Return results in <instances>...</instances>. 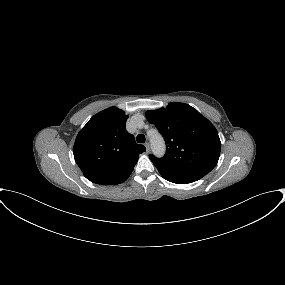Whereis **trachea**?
I'll list each match as a JSON object with an SVG mask.
<instances>
[{
	"instance_id": "obj_1",
	"label": "trachea",
	"mask_w": 285,
	"mask_h": 285,
	"mask_svg": "<svg viewBox=\"0 0 285 285\" xmlns=\"http://www.w3.org/2000/svg\"><path fill=\"white\" fill-rule=\"evenodd\" d=\"M136 140L138 143H144L145 142V136L143 134H138L136 137Z\"/></svg>"
}]
</instances>
